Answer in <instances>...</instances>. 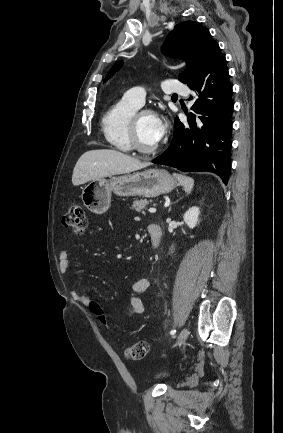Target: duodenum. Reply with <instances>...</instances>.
Listing matches in <instances>:
<instances>
[{
    "label": "duodenum",
    "mask_w": 283,
    "mask_h": 433,
    "mask_svg": "<svg viewBox=\"0 0 283 433\" xmlns=\"http://www.w3.org/2000/svg\"><path fill=\"white\" fill-rule=\"evenodd\" d=\"M148 233L154 248H158L162 239V229L157 224H152L148 227Z\"/></svg>",
    "instance_id": "duodenum-1"
}]
</instances>
